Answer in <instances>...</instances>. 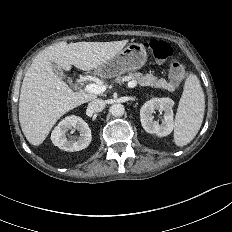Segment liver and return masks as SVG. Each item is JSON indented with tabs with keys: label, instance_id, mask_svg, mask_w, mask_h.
<instances>
[{
	"label": "liver",
	"instance_id": "6515ba94",
	"mask_svg": "<svg viewBox=\"0 0 232 232\" xmlns=\"http://www.w3.org/2000/svg\"><path fill=\"white\" fill-rule=\"evenodd\" d=\"M128 40L113 42H58L41 51L23 79L19 99V122L26 139L39 146L57 120L73 108L95 99L74 92L53 70V64L69 71L97 69L112 59Z\"/></svg>",
	"mask_w": 232,
	"mask_h": 232
}]
</instances>
